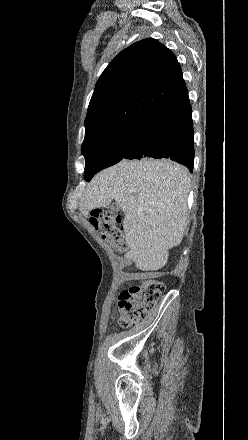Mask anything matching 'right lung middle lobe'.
I'll list each match as a JSON object with an SVG mask.
<instances>
[{"label":"right lung middle lobe","mask_w":248,"mask_h":440,"mask_svg":"<svg viewBox=\"0 0 248 440\" xmlns=\"http://www.w3.org/2000/svg\"><path fill=\"white\" fill-rule=\"evenodd\" d=\"M130 137L128 129L114 132L86 148H82L85 157L84 178L90 181L100 170L112 166L123 159Z\"/></svg>","instance_id":"dd1d6c3e"}]
</instances>
